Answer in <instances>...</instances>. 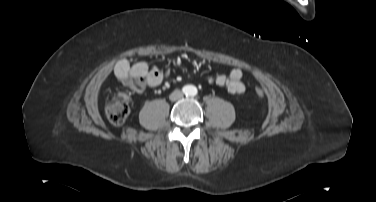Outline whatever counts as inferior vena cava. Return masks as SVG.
Wrapping results in <instances>:
<instances>
[{
	"mask_svg": "<svg viewBox=\"0 0 376 202\" xmlns=\"http://www.w3.org/2000/svg\"><path fill=\"white\" fill-rule=\"evenodd\" d=\"M181 97H183V93L180 90L174 91L170 96L171 100L180 99Z\"/></svg>",
	"mask_w": 376,
	"mask_h": 202,
	"instance_id": "602c4592",
	"label": "inferior vena cava"
}]
</instances>
